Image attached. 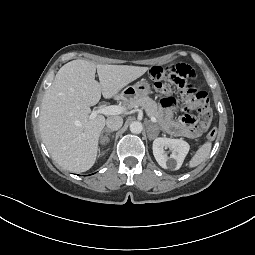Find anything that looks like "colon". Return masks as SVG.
Returning a JSON list of instances; mask_svg holds the SVG:
<instances>
[{"label": "colon", "mask_w": 255, "mask_h": 255, "mask_svg": "<svg viewBox=\"0 0 255 255\" xmlns=\"http://www.w3.org/2000/svg\"><path fill=\"white\" fill-rule=\"evenodd\" d=\"M151 81L162 93H168L170 84L175 86L184 98L186 111H197L199 126L208 129L212 122V109L206 92L197 90L192 83L195 71L186 64H174L167 67L154 66L149 73ZM164 99V98H163ZM216 137V130L211 129L207 138Z\"/></svg>", "instance_id": "colon-1"}]
</instances>
